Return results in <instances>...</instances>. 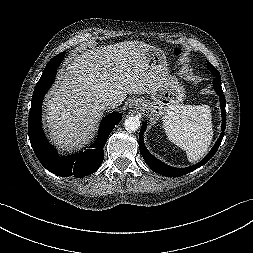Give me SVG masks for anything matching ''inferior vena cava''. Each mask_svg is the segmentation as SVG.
I'll list each match as a JSON object with an SVG mask.
<instances>
[{
    "label": "inferior vena cava",
    "instance_id": "1",
    "mask_svg": "<svg viewBox=\"0 0 253 253\" xmlns=\"http://www.w3.org/2000/svg\"><path fill=\"white\" fill-rule=\"evenodd\" d=\"M119 105L120 104L117 100L106 98L101 102L100 107L102 110H111L118 107Z\"/></svg>",
    "mask_w": 253,
    "mask_h": 253
}]
</instances>
